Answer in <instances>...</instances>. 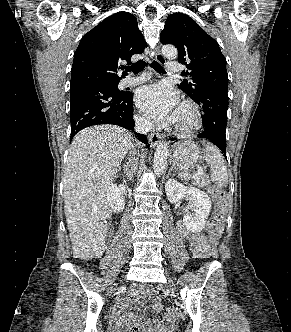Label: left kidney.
Segmentation results:
<instances>
[{
  "mask_svg": "<svg viewBox=\"0 0 291 332\" xmlns=\"http://www.w3.org/2000/svg\"><path fill=\"white\" fill-rule=\"evenodd\" d=\"M165 192L171 203H177L184 197L191 199L193 213L186 214L183 217V223L190 232L202 231L211 211L210 197L200 189L184 186L173 178L166 182Z\"/></svg>",
  "mask_w": 291,
  "mask_h": 332,
  "instance_id": "obj_1",
  "label": "left kidney"
}]
</instances>
